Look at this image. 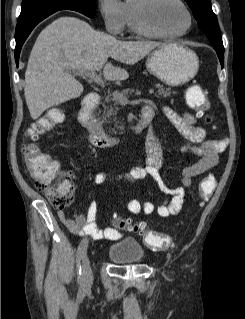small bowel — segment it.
Listing matches in <instances>:
<instances>
[{"label":"small bowel","mask_w":245,"mask_h":319,"mask_svg":"<svg viewBox=\"0 0 245 319\" xmlns=\"http://www.w3.org/2000/svg\"><path fill=\"white\" fill-rule=\"evenodd\" d=\"M165 117L172 123L176 130L190 143L184 150L197 156V161L187 166L182 173L181 185L169 187L164 184L160 175V169L164 163V156L156 142L155 132L152 131L149 138V151L146 163L134 167L130 172L122 174L117 179L125 180L130 184L153 180L163 189L169 197L159 206H155L147 199L131 198L127 202L128 211L134 215H152L157 213L161 217L176 215L180 212L184 200L185 189L190 187L192 180L200 174L214 167L219 155L225 150L227 143L223 138H207L206 130L197 124L200 115L190 113H178L170 107H164ZM150 115L151 120L155 116L151 106H145L142 115ZM112 179L107 173H97L94 176L96 184H103ZM59 220L74 234L88 236L95 240L115 241L122 237L123 232L117 227H102L97 221V204L91 202L86 214L75 213L69 218L62 210L57 213Z\"/></svg>","instance_id":"obj_1"}]
</instances>
